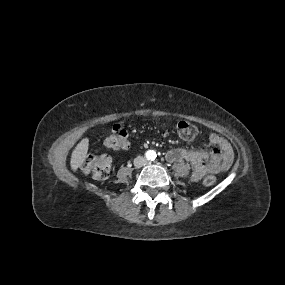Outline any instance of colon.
Wrapping results in <instances>:
<instances>
[{"label":"colon","mask_w":285,"mask_h":285,"mask_svg":"<svg viewBox=\"0 0 285 285\" xmlns=\"http://www.w3.org/2000/svg\"><path fill=\"white\" fill-rule=\"evenodd\" d=\"M177 132L184 140H192L197 136V127L187 121H181L177 124ZM106 146L113 149H126L129 146V137L126 129L121 125H114L111 133L105 139ZM84 173L91 175L94 179L104 180L109 176L111 169L110 157L104 153H90L81 164ZM214 175H207L203 179L206 186L215 183Z\"/></svg>","instance_id":"5ec220e1"}]
</instances>
